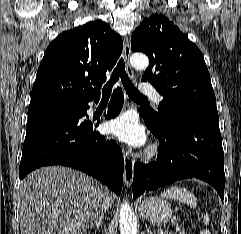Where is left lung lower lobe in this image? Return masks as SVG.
Listing matches in <instances>:
<instances>
[{
	"mask_svg": "<svg viewBox=\"0 0 241 234\" xmlns=\"http://www.w3.org/2000/svg\"><path fill=\"white\" fill-rule=\"evenodd\" d=\"M143 118L160 147L156 161L134 164L133 198L177 180L195 177L211 184L223 200L224 152L219 120L171 112L162 125L156 126Z\"/></svg>",
	"mask_w": 241,
	"mask_h": 234,
	"instance_id": "0a47b994",
	"label": "left lung lower lobe"
}]
</instances>
